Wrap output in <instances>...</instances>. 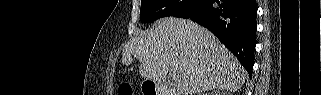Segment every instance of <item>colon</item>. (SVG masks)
Segmentation results:
<instances>
[{
	"label": "colon",
	"mask_w": 321,
	"mask_h": 95,
	"mask_svg": "<svg viewBox=\"0 0 321 95\" xmlns=\"http://www.w3.org/2000/svg\"><path fill=\"white\" fill-rule=\"evenodd\" d=\"M119 94L120 95H133L132 87L127 83L121 84L119 87Z\"/></svg>",
	"instance_id": "obj_1"
}]
</instances>
